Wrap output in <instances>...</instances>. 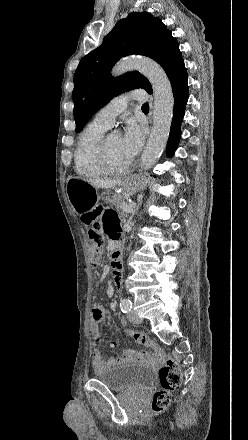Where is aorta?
Listing matches in <instances>:
<instances>
[{
	"label": "aorta",
	"instance_id": "obj_1",
	"mask_svg": "<svg viewBox=\"0 0 248 440\" xmlns=\"http://www.w3.org/2000/svg\"><path fill=\"white\" fill-rule=\"evenodd\" d=\"M138 70L151 83L154 95V119L150 137L141 155V168L151 169L161 156L170 133L174 96L171 83L160 65L146 57L125 58L112 69L113 76Z\"/></svg>",
	"mask_w": 248,
	"mask_h": 440
}]
</instances>
